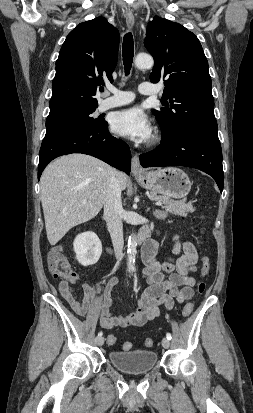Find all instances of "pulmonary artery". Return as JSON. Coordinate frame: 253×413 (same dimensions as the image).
I'll return each mask as SVG.
<instances>
[{
  "label": "pulmonary artery",
  "instance_id": "pulmonary-artery-1",
  "mask_svg": "<svg viewBox=\"0 0 253 413\" xmlns=\"http://www.w3.org/2000/svg\"><path fill=\"white\" fill-rule=\"evenodd\" d=\"M139 92L143 95L153 96L158 93V89L151 83L143 82L139 85ZM134 94L131 91H123L109 87L106 91V97L99 103L98 109L105 111L114 107L128 104L134 100Z\"/></svg>",
  "mask_w": 253,
  "mask_h": 413
}]
</instances>
